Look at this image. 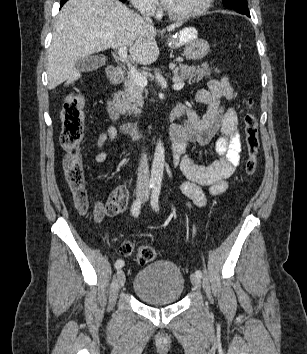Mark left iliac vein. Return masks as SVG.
Here are the masks:
<instances>
[{
	"label": "left iliac vein",
	"instance_id": "obj_1",
	"mask_svg": "<svg viewBox=\"0 0 307 354\" xmlns=\"http://www.w3.org/2000/svg\"><path fill=\"white\" fill-rule=\"evenodd\" d=\"M190 279H191L192 285H193L195 288H200V286H201V279H200L198 276H196L195 274H191Z\"/></svg>",
	"mask_w": 307,
	"mask_h": 354
}]
</instances>
